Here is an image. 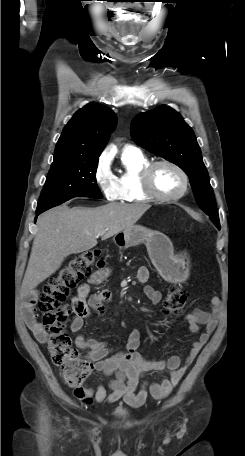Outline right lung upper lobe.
Returning <instances> with one entry per match:
<instances>
[{
	"instance_id": "1",
	"label": "right lung upper lobe",
	"mask_w": 245,
	"mask_h": 456,
	"mask_svg": "<svg viewBox=\"0 0 245 456\" xmlns=\"http://www.w3.org/2000/svg\"><path fill=\"white\" fill-rule=\"evenodd\" d=\"M117 123L108 107L92 102L78 110L64 127L53 163L73 158H98Z\"/></svg>"
}]
</instances>
